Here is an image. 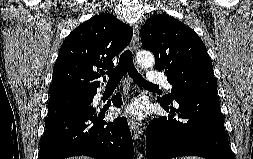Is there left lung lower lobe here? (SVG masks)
I'll return each instance as SVG.
<instances>
[{"mask_svg": "<svg viewBox=\"0 0 253 159\" xmlns=\"http://www.w3.org/2000/svg\"><path fill=\"white\" fill-rule=\"evenodd\" d=\"M158 100L170 115L159 116L148 126L147 159L178 156L235 159L225 132L217 95H181L175 98L179 104L177 109L162 99Z\"/></svg>", "mask_w": 253, "mask_h": 159, "instance_id": "1", "label": "left lung lower lobe"}]
</instances>
